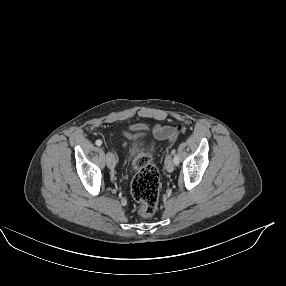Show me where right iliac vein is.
Wrapping results in <instances>:
<instances>
[{"mask_svg":"<svg viewBox=\"0 0 286 286\" xmlns=\"http://www.w3.org/2000/svg\"><path fill=\"white\" fill-rule=\"evenodd\" d=\"M106 161H107V166L110 169H114L115 165H116V160L114 155L111 152H108L106 155Z\"/></svg>","mask_w":286,"mask_h":286,"instance_id":"obj_1","label":"right iliac vein"}]
</instances>
